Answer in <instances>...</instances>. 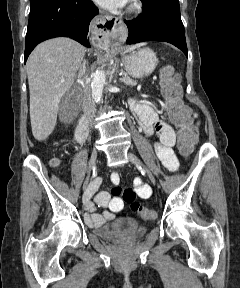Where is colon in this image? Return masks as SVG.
<instances>
[{
	"instance_id": "colon-1",
	"label": "colon",
	"mask_w": 240,
	"mask_h": 288,
	"mask_svg": "<svg viewBox=\"0 0 240 288\" xmlns=\"http://www.w3.org/2000/svg\"><path fill=\"white\" fill-rule=\"evenodd\" d=\"M180 75L172 66H164L160 72L161 94L165 101L166 112L171 122L178 128V143L185 155L192 152L196 140L197 130L192 124L190 109L181 100ZM56 160L53 163L56 164ZM124 200L129 203L132 211L142 219H151L155 212L140 205L136 201V194L132 189L123 193Z\"/></svg>"
}]
</instances>
